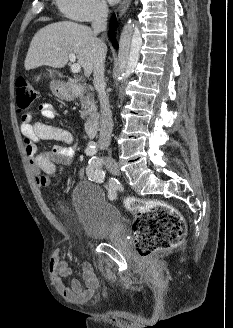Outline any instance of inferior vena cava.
I'll list each match as a JSON object with an SVG mask.
<instances>
[{
  "mask_svg": "<svg viewBox=\"0 0 233 328\" xmlns=\"http://www.w3.org/2000/svg\"><path fill=\"white\" fill-rule=\"evenodd\" d=\"M108 12L109 10L106 2L104 0H97L92 13V28L95 33L104 32L106 30ZM104 62L105 56L100 55L95 61L93 68V84L98 92L101 107L100 136L98 143L102 149H106L110 145L113 129L112 112L110 110L109 98L105 91Z\"/></svg>",
  "mask_w": 233,
  "mask_h": 328,
  "instance_id": "obj_1",
  "label": "inferior vena cava"
}]
</instances>
